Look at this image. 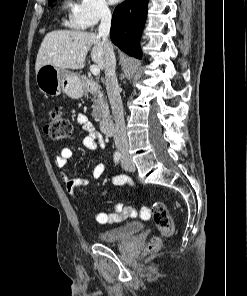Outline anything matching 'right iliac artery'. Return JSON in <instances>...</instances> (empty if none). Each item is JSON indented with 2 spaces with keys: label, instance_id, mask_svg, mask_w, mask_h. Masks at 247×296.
Segmentation results:
<instances>
[{
  "label": "right iliac artery",
  "instance_id": "82829eb1",
  "mask_svg": "<svg viewBox=\"0 0 247 296\" xmlns=\"http://www.w3.org/2000/svg\"><path fill=\"white\" fill-rule=\"evenodd\" d=\"M113 158H114V162L118 163L120 161V159H121V153L115 152Z\"/></svg>",
  "mask_w": 247,
  "mask_h": 296
}]
</instances>
